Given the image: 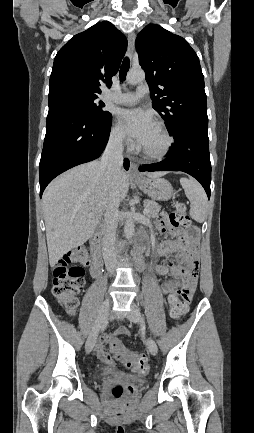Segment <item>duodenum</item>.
<instances>
[{
  "mask_svg": "<svg viewBox=\"0 0 254 433\" xmlns=\"http://www.w3.org/2000/svg\"><path fill=\"white\" fill-rule=\"evenodd\" d=\"M90 247L92 252L90 272L94 277H97L100 274L102 268V248L99 235H94L90 239Z\"/></svg>",
  "mask_w": 254,
  "mask_h": 433,
  "instance_id": "1",
  "label": "duodenum"
}]
</instances>
